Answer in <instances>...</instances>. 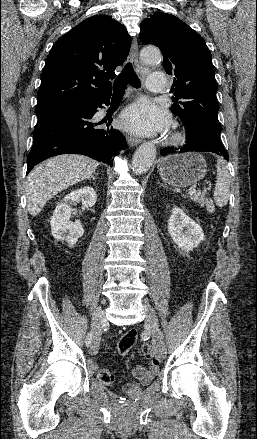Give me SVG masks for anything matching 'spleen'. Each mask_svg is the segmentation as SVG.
<instances>
[{"label": "spleen", "instance_id": "1", "mask_svg": "<svg viewBox=\"0 0 257 439\" xmlns=\"http://www.w3.org/2000/svg\"><path fill=\"white\" fill-rule=\"evenodd\" d=\"M217 180L214 190V201L217 206H226L230 195V174L226 163L219 159L217 161Z\"/></svg>", "mask_w": 257, "mask_h": 439}]
</instances>
